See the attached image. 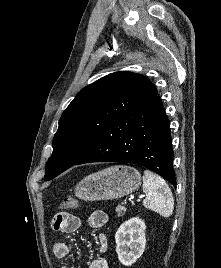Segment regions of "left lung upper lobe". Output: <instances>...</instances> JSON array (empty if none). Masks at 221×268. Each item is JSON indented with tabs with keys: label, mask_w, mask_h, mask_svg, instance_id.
Listing matches in <instances>:
<instances>
[{
	"label": "left lung upper lobe",
	"mask_w": 221,
	"mask_h": 268,
	"mask_svg": "<svg viewBox=\"0 0 221 268\" xmlns=\"http://www.w3.org/2000/svg\"><path fill=\"white\" fill-rule=\"evenodd\" d=\"M157 94L147 77L127 71L84 87L60 118L45 179L51 180L76 164L111 123Z\"/></svg>",
	"instance_id": "left-lung-upper-lobe-1"
}]
</instances>
